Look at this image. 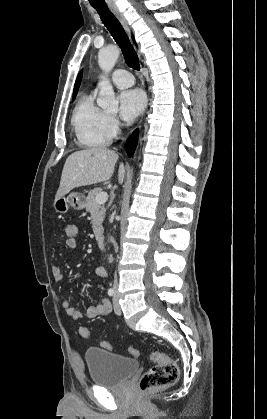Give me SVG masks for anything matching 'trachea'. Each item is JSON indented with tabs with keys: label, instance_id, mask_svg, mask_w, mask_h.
I'll return each instance as SVG.
<instances>
[{
	"label": "trachea",
	"instance_id": "1",
	"mask_svg": "<svg viewBox=\"0 0 267 419\" xmlns=\"http://www.w3.org/2000/svg\"><path fill=\"white\" fill-rule=\"evenodd\" d=\"M94 8L100 15L103 24L107 27L112 37L121 48L127 65L135 70H139V58L119 20L108 7L94 6Z\"/></svg>",
	"mask_w": 267,
	"mask_h": 419
}]
</instances>
